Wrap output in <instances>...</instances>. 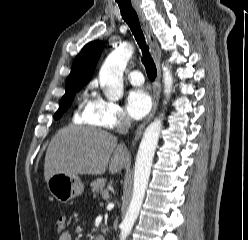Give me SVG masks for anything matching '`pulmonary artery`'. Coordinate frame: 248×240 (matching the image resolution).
I'll use <instances>...</instances> for the list:
<instances>
[{
	"label": "pulmonary artery",
	"instance_id": "pulmonary-artery-1",
	"mask_svg": "<svg viewBox=\"0 0 248 240\" xmlns=\"http://www.w3.org/2000/svg\"><path fill=\"white\" fill-rule=\"evenodd\" d=\"M128 80L133 85H141L144 82L143 75L140 71L134 70L127 74Z\"/></svg>",
	"mask_w": 248,
	"mask_h": 240
}]
</instances>
